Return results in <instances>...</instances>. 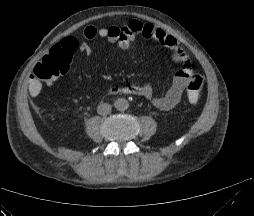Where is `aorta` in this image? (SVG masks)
<instances>
[{
    "instance_id": "aorta-1",
    "label": "aorta",
    "mask_w": 254,
    "mask_h": 216,
    "mask_svg": "<svg viewBox=\"0 0 254 216\" xmlns=\"http://www.w3.org/2000/svg\"><path fill=\"white\" fill-rule=\"evenodd\" d=\"M114 106L118 111H125L129 107V103L125 98H118L114 102Z\"/></svg>"
}]
</instances>
